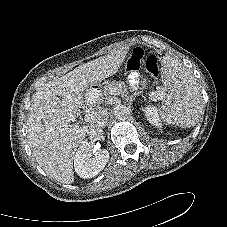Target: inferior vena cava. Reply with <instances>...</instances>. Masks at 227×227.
Returning <instances> with one entry per match:
<instances>
[{"mask_svg": "<svg viewBox=\"0 0 227 227\" xmlns=\"http://www.w3.org/2000/svg\"><path fill=\"white\" fill-rule=\"evenodd\" d=\"M108 112L105 110L99 111L97 114L93 115L89 120V127L92 130H98L101 129L103 126H105L108 122Z\"/></svg>", "mask_w": 227, "mask_h": 227, "instance_id": "602c4592", "label": "inferior vena cava"}]
</instances>
